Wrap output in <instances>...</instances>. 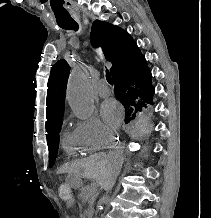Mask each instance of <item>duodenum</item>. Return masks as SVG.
Masks as SVG:
<instances>
[{
  "instance_id": "1",
  "label": "duodenum",
  "mask_w": 211,
  "mask_h": 218,
  "mask_svg": "<svg viewBox=\"0 0 211 218\" xmlns=\"http://www.w3.org/2000/svg\"><path fill=\"white\" fill-rule=\"evenodd\" d=\"M94 211L92 209H88L86 211V217L87 218H92Z\"/></svg>"
}]
</instances>
